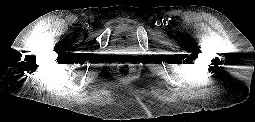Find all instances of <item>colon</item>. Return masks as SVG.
<instances>
[{
	"mask_svg": "<svg viewBox=\"0 0 255 122\" xmlns=\"http://www.w3.org/2000/svg\"><path fill=\"white\" fill-rule=\"evenodd\" d=\"M118 71L123 77H129L133 74L134 69L129 64H122L120 65Z\"/></svg>",
	"mask_w": 255,
	"mask_h": 122,
	"instance_id": "1",
	"label": "colon"
}]
</instances>
